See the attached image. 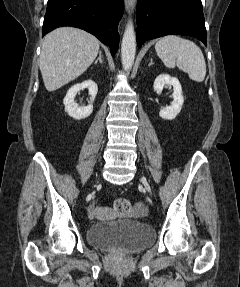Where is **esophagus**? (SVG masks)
Listing matches in <instances>:
<instances>
[{
    "label": "esophagus",
    "mask_w": 240,
    "mask_h": 287,
    "mask_svg": "<svg viewBox=\"0 0 240 287\" xmlns=\"http://www.w3.org/2000/svg\"><path fill=\"white\" fill-rule=\"evenodd\" d=\"M135 0H125L126 11L130 12L134 8Z\"/></svg>",
    "instance_id": "34e87169"
}]
</instances>
